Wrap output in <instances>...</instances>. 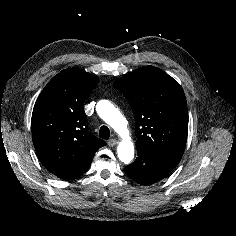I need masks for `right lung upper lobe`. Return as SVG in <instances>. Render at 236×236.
Returning a JSON list of instances; mask_svg holds the SVG:
<instances>
[{"mask_svg":"<svg viewBox=\"0 0 236 236\" xmlns=\"http://www.w3.org/2000/svg\"><path fill=\"white\" fill-rule=\"evenodd\" d=\"M98 80L79 68L63 70L45 86L32 113V140L41 163L57 177L87 169L106 145L89 131L83 109Z\"/></svg>","mask_w":236,"mask_h":236,"instance_id":"cb5924a9","label":"right lung upper lobe"}]
</instances>
